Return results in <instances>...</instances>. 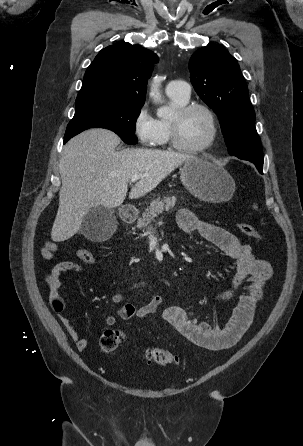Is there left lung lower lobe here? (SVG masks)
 Segmentation results:
<instances>
[{"label":"left lung lower lobe","instance_id":"left-lung-lower-lobe-1","mask_svg":"<svg viewBox=\"0 0 303 446\" xmlns=\"http://www.w3.org/2000/svg\"><path fill=\"white\" fill-rule=\"evenodd\" d=\"M254 164H255V163H254ZM255 166L257 167V169L259 170V172L262 173V168H263V166H260V165H257V164H255Z\"/></svg>","mask_w":303,"mask_h":446}]
</instances>
